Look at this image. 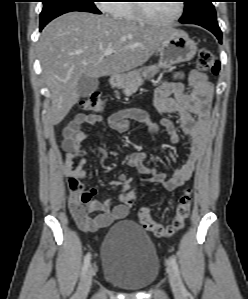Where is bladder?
Instances as JSON below:
<instances>
[{
    "label": "bladder",
    "instance_id": "1",
    "mask_svg": "<svg viewBox=\"0 0 248 299\" xmlns=\"http://www.w3.org/2000/svg\"><path fill=\"white\" fill-rule=\"evenodd\" d=\"M159 273L156 247L137 223L123 221L108 231L103 243V276L124 291L150 286Z\"/></svg>",
    "mask_w": 248,
    "mask_h": 299
}]
</instances>
